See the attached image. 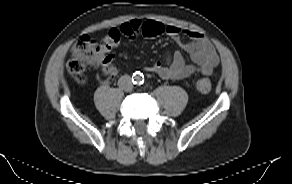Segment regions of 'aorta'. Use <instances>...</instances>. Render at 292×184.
Wrapping results in <instances>:
<instances>
[{"instance_id":"aorta-1","label":"aorta","mask_w":292,"mask_h":184,"mask_svg":"<svg viewBox=\"0 0 292 184\" xmlns=\"http://www.w3.org/2000/svg\"><path fill=\"white\" fill-rule=\"evenodd\" d=\"M134 79H135V82H140V80H141V77L139 76V75H136L135 77H134Z\"/></svg>"}]
</instances>
